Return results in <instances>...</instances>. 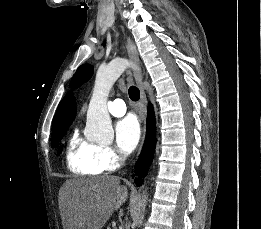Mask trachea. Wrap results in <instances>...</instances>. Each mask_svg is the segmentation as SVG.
Wrapping results in <instances>:
<instances>
[{"instance_id": "1", "label": "trachea", "mask_w": 261, "mask_h": 229, "mask_svg": "<svg viewBox=\"0 0 261 229\" xmlns=\"http://www.w3.org/2000/svg\"><path fill=\"white\" fill-rule=\"evenodd\" d=\"M128 93H129V97L131 100H134V101L139 100L140 92L137 87H135V86L129 87Z\"/></svg>"}]
</instances>
